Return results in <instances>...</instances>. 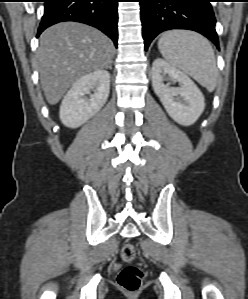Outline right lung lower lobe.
<instances>
[{
  "label": "right lung lower lobe",
  "mask_w": 248,
  "mask_h": 299,
  "mask_svg": "<svg viewBox=\"0 0 248 299\" xmlns=\"http://www.w3.org/2000/svg\"><path fill=\"white\" fill-rule=\"evenodd\" d=\"M119 0H45V11L37 36L47 27L64 21H77L96 27L117 46Z\"/></svg>",
  "instance_id": "obj_1"
}]
</instances>
